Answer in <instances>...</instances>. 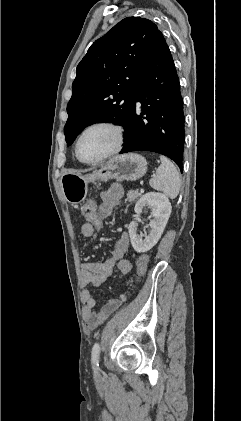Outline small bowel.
<instances>
[{
	"label": "small bowel",
	"mask_w": 241,
	"mask_h": 421,
	"mask_svg": "<svg viewBox=\"0 0 241 421\" xmlns=\"http://www.w3.org/2000/svg\"><path fill=\"white\" fill-rule=\"evenodd\" d=\"M123 197V188L113 185L101 193V203L97 213L103 220L111 215L114 208ZM81 235L85 238L95 239L97 234L93 227L84 223L80 228ZM129 249V239L126 233H122L116 241L110 256L104 262H85L81 267V300L84 304L83 319L86 326L93 330L101 325L124 301V296L119 299H111L100 310L96 311V302L89 292V285L100 286L112 274L116 263L121 260Z\"/></svg>",
	"instance_id": "small-bowel-1"
}]
</instances>
